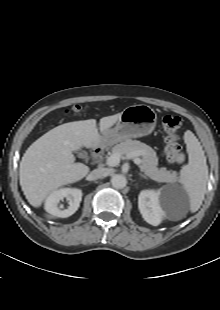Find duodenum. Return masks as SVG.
I'll list each match as a JSON object with an SVG mask.
<instances>
[{"label":"duodenum","mask_w":220,"mask_h":310,"mask_svg":"<svg viewBox=\"0 0 220 310\" xmlns=\"http://www.w3.org/2000/svg\"><path fill=\"white\" fill-rule=\"evenodd\" d=\"M103 151L102 146H96L91 150V158L97 160Z\"/></svg>","instance_id":"duodenum-1"}]
</instances>
